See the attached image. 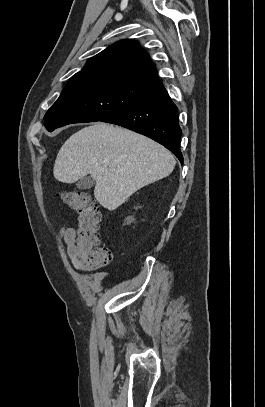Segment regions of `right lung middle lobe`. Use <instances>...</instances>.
I'll use <instances>...</instances> for the list:
<instances>
[{"label":"right lung middle lobe","instance_id":"dd1d6c3e","mask_svg":"<svg viewBox=\"0 0 265 407\" xmlns=\"http://www.w3.org/2000/svg\"><path fill=\"white\" fill-rule=\"evenodd\" d=\"M156 88L135 81L104 75L73 76L48 110V131L82 122L103 121L147 98Z\"/></svg>","mask_w":265,"mask_h":407}]
</instances>
